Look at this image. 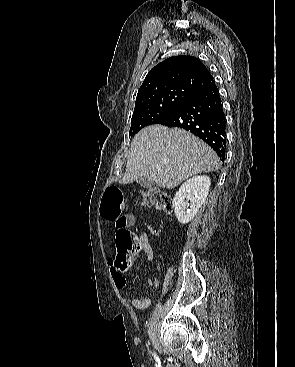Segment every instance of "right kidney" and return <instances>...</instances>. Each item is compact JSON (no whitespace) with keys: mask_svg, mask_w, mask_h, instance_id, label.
<instances>
[{"mask_svg":"<svg viewBox=\"0 0 295 367\" xmlns=\"http://www.w3.org/2000/svg\"><path fill=\"white\" fill-rule=\"evenodd\" d=\"M210 182L208 176H194L181 185L173 200L179 223L186 224L195 217L208 195ZM188 201L190 206L185 211Z\"/></svg>","mask_w":295,"mask_h":367,"instance_id":"1","label":"right kidney"}]
</instances>
